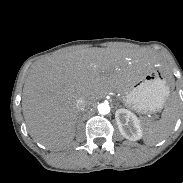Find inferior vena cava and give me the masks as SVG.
<instances>
[{"mask_svg":"<svg viewBox=\"0 0 183 183\" xmlns=\"http://www.w3.org/2000/svg\"><path fill=\"white\" fill-rule=\"evenodd\" d=\"M87 106L88 103L84 98H79L76 102V107L78 111H84Z\"/></svg>","mask_w":183,"mask_h":183,"instance_id":"602c4592","label":"inferior vena cava"}]
</instances>
